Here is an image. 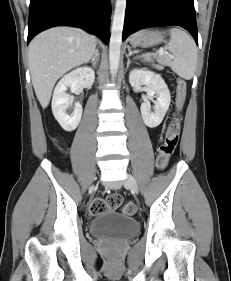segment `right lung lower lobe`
<instances>
[{
  "instance_id": "right-lung-lower-lobe-1",
  "label": "right lung lower lobe",
  "mask_w": 231,
  "mask_h": 281,
  "mask_svg": "<svg viewBox=\"0 0 231 281\" xmlns=\"http://www.w3.org/2000/svg\"><path fill=\"white\" fill-rule=\"evenodd\" d=\"M110 0H31L28 40L54 26H73L109 41Z\"/></svg>"
}]
</instances>
